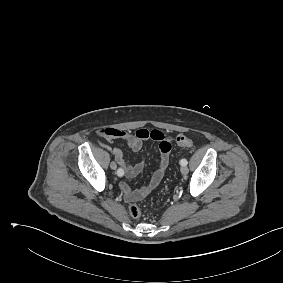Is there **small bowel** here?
<instances>
[{
    "mask_svg": "<svg viewBox=\"0 0 283 283\" xmlns=\"http://www.w3.org/2000/svg\"><path fill=\"white\" fill-rule=\"evenodd\" d=\"M98 135L107 141L114 139H123L128 147L133 151L141 150L143 143L148 139L159 142L160 163L157 170L153 173L149 183L139 189H132L127 183L122 182L120 189L124 194L126 201H137L148 195L161 182L169 165V154L171 150L170 140L159 130L138 129L134 134L128 131L106 127L98 131ZM112 153L116 162L123 169L127 178H134L144 169V163L140 162L131 165L124 156L120 148H113Z\"/></svg>",
    "mask_w": 283,
    "mask_h": 283,
    "instance_id": "small-bowel-1",
    "label": "small bowel"
}]
</instances>
